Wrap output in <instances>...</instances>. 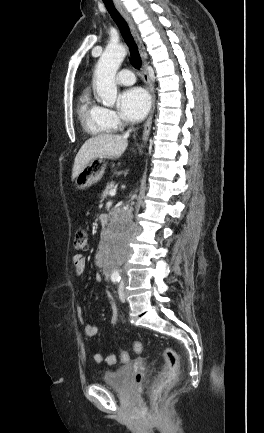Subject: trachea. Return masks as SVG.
<instances>
[{"label":"trachea","mask_w":264,"mask_h":433,"mask_svg":"<svg viewBox=\"0 0 264 433\" xmlns=\"http://www.w3.org/2000/svg\"><path fill=\"white\" fill-rule=\"evenodd\" d=\"M105 7L109 14L111 15L114 22L117 24L120 29L123 37L125 38L127 45L129 47L130 55H131V64L134 68L140 69L142 61L138 51V48L135 44V41L130 33L129 27L125 19L120 15V13L114 7L112 0H103Z\"/></svg>","instance_id":"obj_1"}]
</instances>
